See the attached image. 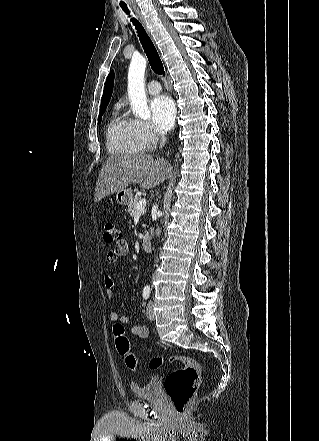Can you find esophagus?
I'll return each instance as SVG.
<instances>
[{
    "label": "esophagus",
    "mask_w": 319,
    "mask_h": 441,
    "mask_svg": "<svg viewBox=\"0 0 319 441\" xmlns=\"http://www.w3.org/2000/svg\"><path fill=\"white\" fill-rule=\"evenodd\" d=\"M136 13H137V16H138L139 20L141 21L143 27L145 28L146 32L150 36V30H149V28H148V26H147V24L145 22V19H144L143 15L140 13V11L138 9H136Z\"/></svg>",
    "instance_id": "obj_1"
}]
</instances>
